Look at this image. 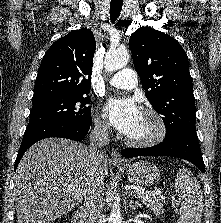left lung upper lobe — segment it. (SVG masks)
I'll return each mask as SVG.
<instances>
[{"instance_id":"1","label":"left lung upper lobe","mask_w":221,"mask_h":223,"mask_svg":"<svg viewBox=\"0 0 221 223\" xmlns=\"http://www.w3.org/2000/svg\"><path fill=\"white\" fill-rule=\"evenodd\" d=\"M129 48L147 99L163 115L164 139L182 131H196L189 61L178 41L143 27L131 34Z\"/></svg>"}]
</instances>
